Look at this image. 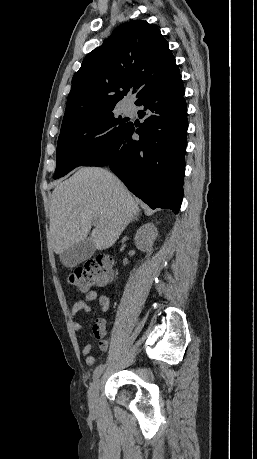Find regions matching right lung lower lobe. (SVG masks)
<instances>
[{
	"label": "right lung lower lobe",
	"instance_id": "1",
	"mask_svg": "<svg viewBox=\"0 0 257 459\" xmlns=\"http://www.w3.org/2000/svg\"><path fill=\"white\" fill-rule=\"evenodd\" d=\"M177 74L141 98L136 105L144 122L129 123L103 154L82 166H109L127 188L152 209L178 213L185 172L187 108ZM139 135V138L136 137Z\"/></svg>",
	"mask_w": 257,
	"mask_h": 459
}]
</instances>
